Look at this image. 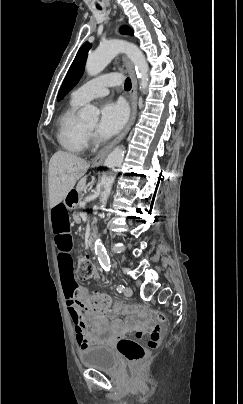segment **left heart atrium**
Wrapping results in <instances>:
<instances>
[{
    "mask_svg": "<svg viewBox=\"0 0 243 404\" xmlns=\"http://www.w3.org/2000/svg\"><path fill=\"white\" fill-rule=\"evenodd\" d=\"M127 113L123 104L113 100H107L101 109L99 122L96 126L97 133L102 137H111L124 125Z\"/></svg>",
    "mask_w": 243,
    "mask_h": 404,
    "instance_id": "1",
    "label": "left heart atrium"
}]
</instances>
